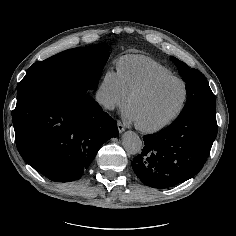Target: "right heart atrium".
Returning a JSON list of instances; mask_svg holds the SVG:
<instances>
[{"label": "right heart atrium", "mask_w": 236, "mask_h": 236, "mask_svg": "<svg viewBox=\"0 0 236 236\" xmlns=\"http://www.w3.org/2000/svg\"><path fill=\"white\" fill-rule=\"evenodd\" d=\"M129 97L119 73L113 69H107L96 88L95 98L98 104L107 111H113L116 108H124Z\"/></svg>", "instance_id": "right-heart-atrium-1"}]
</instances>
